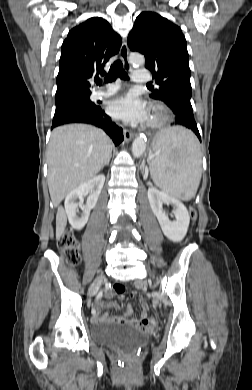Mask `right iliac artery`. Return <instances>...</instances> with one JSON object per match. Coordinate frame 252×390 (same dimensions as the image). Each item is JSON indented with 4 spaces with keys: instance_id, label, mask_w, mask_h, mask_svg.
<instances>
[{
    "instance_id": "1",
    "label": "right iliac artery",
    "mask_w": 252,
    "mask_h": 390,
    "mask_svg": "<svg viewBox=\"0 0 252 390\" xmlns=\"http://www.w3.org/2000/svg\"><path fill=\"white\" fill-rule=\"evenodd\" d=\"M103 295H104V292H103V291H99V292H98V295H97V298L94 300V303H95V304H98V303H99V299H102V298H103ZM96 312H97V309L95 308V306H92L90 315H91V316H95V315H96Z\"/></svg>"
}]
</instances>
